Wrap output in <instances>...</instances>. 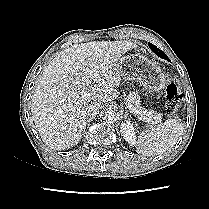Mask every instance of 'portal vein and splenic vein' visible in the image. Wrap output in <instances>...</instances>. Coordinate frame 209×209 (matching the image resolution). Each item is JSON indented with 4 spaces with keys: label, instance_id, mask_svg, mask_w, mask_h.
<instances>
[{
    "label": "portal vein and splenic vein",
    "instance_id": "1",
    "mask_svg": "<svg viewBox=\"0 0 209 209\" xmlns=\"http://www.w3.org/2000/svg\"><path fill=\"white\" fill-rule=\"evenodd\" d=\"M80 95H81V97L83 98V99H89L90 98V96H91V93L89 92V91H87L86 89H82L81 91H80V93H79ZM127 105V104H126ZM127 107L129 108V110H130V112L131 113H136L137 111L135 110V109H133V108H131V106L130 105H127Z\"/></svg>",
    "mask_w": 209,
    "mask_h": 209
}]
</instances>
